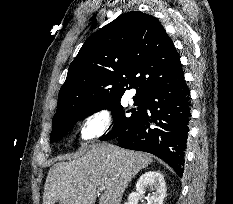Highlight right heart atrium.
<instances>
[{"label": "right heart atrium", "mask_w": 233, "mask_h": 204, "mask_svg": "<svg viewBox=\"0 0 233 204\" xmlns=\"http://www.w3.org/2000/svg\"><path fill=\"white\" fill-rule=\"evenodd\" d=\"M113 126V116L109 108L98 107L88 112L79 125V139L91 141L107 135Z\"/></svg>", "instance_id": "right-heart-atrium-1"}]
</instances>
